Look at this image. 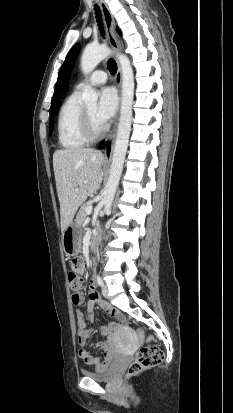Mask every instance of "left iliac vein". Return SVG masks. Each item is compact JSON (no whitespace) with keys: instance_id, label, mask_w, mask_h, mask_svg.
Wrapping results in <instances>:
<instances>
[{"instance_id":"1","label":"left iliac vein","mask_w":233,"mask_h":413,"mask_svg":"<svg viewBox=\"0 0 233 413\" xmlns=\"http://www.w3.org/2000/svg\"><path fill=\"white\" fill-rule=\"evenodd\" d=\"M102 294L105 298H108V289H107L106 285L102 286Z\"/></svg>"}]
</instances>
